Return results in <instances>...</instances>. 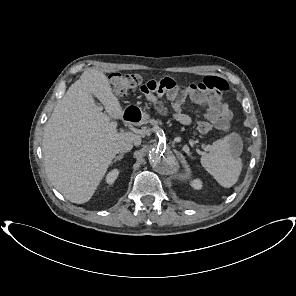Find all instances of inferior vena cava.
Segmentation results:
<instances>
[{
    "label": "inferior vena cava",
    "mask_w": 296,
    "mask_h": 296,
    "mask_svg": "<svg viewBox=\"0 0 296 296\" xmlns=\"http://www.w3.org/2000/svg\"><path fill=\"white\" fill-rule=\"evenodd\" d=\"M133 148V142L129 139H122L116 142L115 152L125 153L129 152Z\"/></svg>",
    "instance_id": "602c4592"
}]
</instances>
